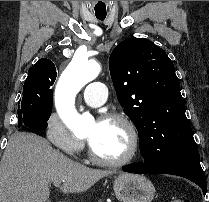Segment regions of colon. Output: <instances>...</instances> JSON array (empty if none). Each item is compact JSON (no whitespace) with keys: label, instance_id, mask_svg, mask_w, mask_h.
<instances>
[{"label":"colon","instance_id":"1","mask_svg":"<svg viewBox=\"0 0 209 202\" xmlns=\"http://www.w3.org/2000/svg\"><path fill=\"white\" fill-rule=\"evenodd\" d=\"M170 202H191V201L185 198H176V199L171 200Z\"/></svg>","mask_w":209,"mask_h":202}]
</instances>
